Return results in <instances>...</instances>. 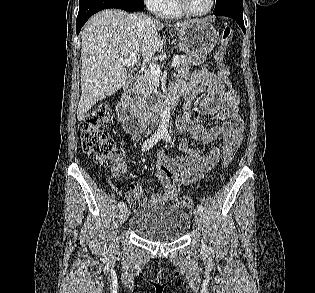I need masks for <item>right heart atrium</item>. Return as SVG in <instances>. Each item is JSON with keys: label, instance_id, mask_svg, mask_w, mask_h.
I'll use <instances>...</instances> for the list:
<instances>
[{"label": "right heart atrium", "instance_id": "obj_1", "mask_svg": "<svg viewBox=\"0 0 315 293\" xmlns=\"http://www.w3.org/2000/svg\"><path fill=\"white\" fill-rule=\"evenodd\" d=\"M146 6L153 12H159L164 0H143Z\"/></svg>", "mask_w": 315, "mask_h": 293}]
</instances>
